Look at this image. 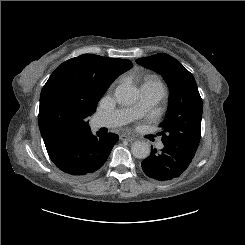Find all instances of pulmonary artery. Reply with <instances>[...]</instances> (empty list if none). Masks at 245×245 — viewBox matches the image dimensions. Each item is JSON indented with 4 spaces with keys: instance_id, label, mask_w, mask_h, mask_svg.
<instances>
[{
    "instance_id": "e3ab8cb5",
    "label": "pulmonary artery",
    "mask_w": 245,
    "mask_h": 245,
    "mask_svg": "<svg viewBox=\"0 0 245 245\" xmlns=\"http://www.w3.org/2000/svg\"><path fill=\"white\" fill-rule=\"evenodd\" d=\"M140 93V101L132 107L99 113L95 119L96 125L98 127L110 128L127 124L146 110L158 104L165 95L161 91L147 89L145 87L141 88ZM159 148H163L162 143L159 144Z\"/></svg>"
}]
</instances>
